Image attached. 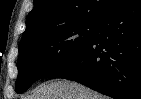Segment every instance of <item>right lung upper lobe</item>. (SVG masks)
<instances>
[{"instance_id":"right-lung-upper-lobe-1","label":"right lung upper lobe","mask_w":141,"mask_h":99,"mask_svg":"<svg viewBox=\"0 0 141 99\" xmlns=\"http://www.w3.org/2000/svg\"><path fill=\"white\" fill-rule=\"evenodd\" d=\"M121 0H34L20 43L77 22L97 21Z\"/></svg>"}]
</instances>
